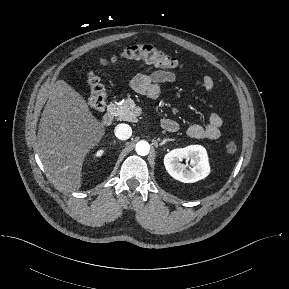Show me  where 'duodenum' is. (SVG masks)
Returning <instances> with one entry per match:
<instances>
[{
    "label": "duodenum",
    "instance_id": "obj_1",
    "mask_svg": "<svg viewBox=\"0 0 289 289\" xmlns=\"http://www.w3.org/2000/svg\"><path fill=\"white\" fill-rule=\"evenodd\" d=\"M113 119H114V108L113 106H110L107 109V111L103 114L102 124L105 126H109L113 122ZM171 125L172 127H175L173 123Z\"/></svg>",
    "mask_w": 289,
    "mask_h": 289
}]
</instances>
